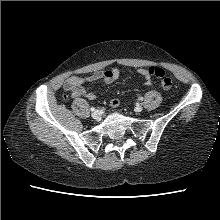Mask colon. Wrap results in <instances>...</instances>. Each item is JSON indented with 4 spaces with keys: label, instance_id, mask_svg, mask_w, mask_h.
Returning <instances> with one entry per match:
<instances>
[{
    "label": "colon",
    "instance_id": "colon-1",
    "mask_svg": "<svg viewBox=\"0 0 220 220\" xmlns=\"http://www.w3.org/2000/svg\"><path fill=\"white\" fill-rule=\"evenodd\" d=\"M147 72L150 76L156 77L159 80L163 89L169 90L172 87V79L163 69L152 66L147 68ZM110 105L111 107L116 108L120 105V100L114 98L111 100Z\"/></svg>",
    "mask_w": 220,
    "mask_h": 220
}]
</instances>
